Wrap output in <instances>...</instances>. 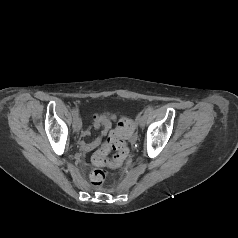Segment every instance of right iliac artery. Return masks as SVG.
<instances>
[{
	"label": "right iliac artery",
	"instance_id": "right-iliac-artery-1",
	"mask_svg": "<svg viewBox=\"0 0 238 238\" xmlns=\"http://www.w3.org/2000/svg\"><path fill=\"white\" fill-rule=\"evenodd\" d=\"M71 113H72V116H73V117H78V115H79L78 110L75 109V108H73V109L71 110Z\"/></svg>",
	"mask_w": 238,
	"mask_h": 238
}]
</instances>
